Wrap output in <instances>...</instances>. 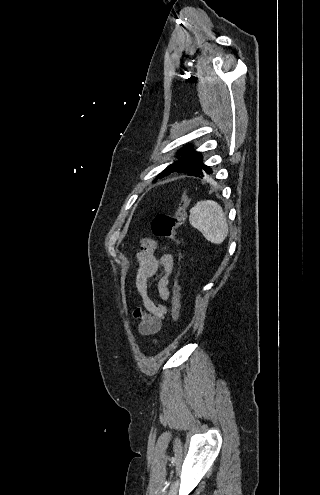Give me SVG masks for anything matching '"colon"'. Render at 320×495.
Instances as JSON below:
<instances>
[{"label":"colon","mask_w":320,"mask_h":495,"mask_svg":"<svg viewBox=\"0 0 320 495\" xmlns=\"http://www.w3.org/2000/svg\"><path fill=\"white\" fill-rule=\"evenodd\" d=\"M187 205H188V196L185 193H183L181 196V201L178 206V209L174 213L156 214L151 225L154 235L169 239L172 243L175 244L177 249L178 269L172 287V317L175 323L179 320L180 309H181L179 275L181 269L180 263L182 260V253L179 248L180 242L177 238L176 230L184 219Z\"/></svg>","instance_id":"1"}]
</instances>
